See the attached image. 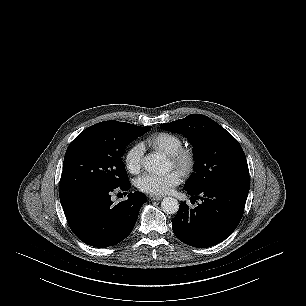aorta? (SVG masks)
<instances>
[{"instance_id":"1","label":"aorta","mask_w":306,"mask_h":306,"mask_svg":"<svg viewBox=\"0 0 306 306\" xmlns=\"http://www.w3.org/2000/svg\"><path fill=\"white\" fill-rule=\"evenodd\" d=\"M165 165V158L159 154L147 155L143 160L144 168L152 173L164 170ZM161 208L167 214H175L179 209V203L177 199L173 197H165L161 202Z\"/></svg>"}]
</instances>
